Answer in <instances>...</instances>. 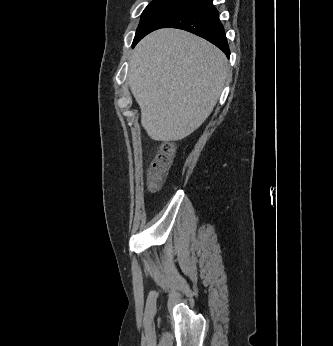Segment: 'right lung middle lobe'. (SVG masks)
Segmentation results:
<instances>
[{"instance_id": "right-lung-middle-lobe-1", "label": "right lung middle lobe", "mask_w": 333, "mask_h": 346, "mask_svg": "<svg viewBox=\"0 0 333 346\" xmlns=\"http://www.w3.org/2000/svg\"><path fill=\"white\" fill-rule=\"evenodd\" d=\"M187 0H153L148 4L141 15L133 41V47L148 33L162 28Z\"/></svg>"}]
</instances>
